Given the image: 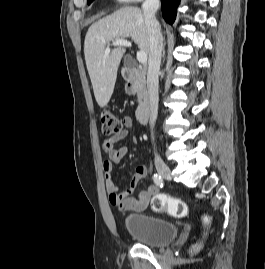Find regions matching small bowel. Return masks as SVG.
I'll return each mask as SVG.
<instances>
[{
  "label": "small bowel",
  "mask_w": 265,
  "mask_h": 269,
  "mask_svg": "<svg viewBox=\"0 0 265 269\" xmlns=\"http://www.w3.org/2000/svg\"><path fill=\"white\" fill-rule=\"evenodd\" d=\"M124 129L121 134L105 139L103 142V151L107 159L103 162V172L105 176V187L109 195V203L120 211L143 212L147 209L151 198L159 193V186L152 184L147 189L141 190L136 197L132 196L141 178L147 175V168L145 165H138L134 172L130 173L128 186L119 191L118 186L113 180V164L119 163L128 153L127 146L116 148L115 145L124 139L130 129L133 128L134 122L130 116H125L122 120Z\"/></svg>",
  "instance_id": "obj_1"
}]
</instances>
